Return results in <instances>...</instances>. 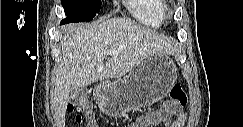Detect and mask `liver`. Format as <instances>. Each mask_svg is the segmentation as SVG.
<instances>
[{
	"label": "liver",
	"instance_id": "1",
	"mask_svg": "<svg viewBox=\"0 0 243 127\" xmlns=\"http://www.w3.org/2000/svg\"><path fill=\"white\" fill-rule=\"evenodd\" d=\"M63 29L62 59L55 70L51 96L57 127L65 125L72 90L99 80L121 78L149 55L177 51L171 39L126 18L102 19L90 26L67 25Z\"/></svg>",
	"mask_w": 243,
	"mask_h": 127
}]
</instances>
